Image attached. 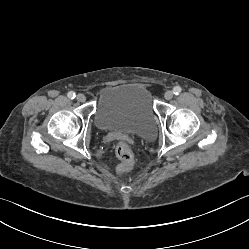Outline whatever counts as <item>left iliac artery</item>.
Wrapping results in <instances>:
<instances>
[{"label":"left iliac artery","mask_w":249,"mask_h":249,"mask_svg":"<svg viewBox=\"0 0 249 249\" xmlns=\"http://www.w3.org/2000/svg\"><path fill=\"white\" fill-rule=\"evenodd\" d=\"M181 87L180 86H175L174 88H173V93L175 94V95H178V94H180V92H181Z\"/></svg>","instance_id":"obj_1"}]
</instances>
